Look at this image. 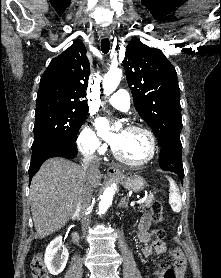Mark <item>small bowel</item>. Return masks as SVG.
Masks as SVG:
<instances>
[{
    "mask_svg": "<svg viewBox=\"0 0 221 278\" xmlns=\"http://www.w3.org/2000/svg\"><path fill=\"white\" fill-rule=\"evenodd\" d=\"M151 217L149 214H144L139 222L138 225V232H137V240L140 243H143V247L141 253L145 257L151 256L153 253L158 255H163L167 253L168 247L166 244L161 240H155L152 243L148 244L151 238ZM172 254V260H168L167 262H173L174 269L176 272V278H183L186 262L184 255L181 250L173 249L170 250ZM154 278H165L163 265H157L156 270L154 272Z\"/></svg>",
    "mask_w": 221,
    "mask_h": 278,
    "instance_id": "c3829d8e",
    "label": "small bowel"
}]
</instances>
